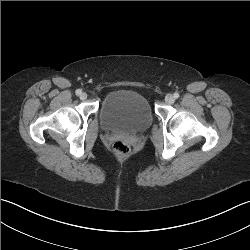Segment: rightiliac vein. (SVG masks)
<instances>
[{
    "label": "right iliac vein",
    "instance_id": "1",
    "mask_svg": "<svg viewBox=\"0 0 250 250\" xmlns=\"http://www.w3.org/2000/svg\"><path fill=\"white\" fill-rule=\"evenodd\" d=\"M87 98V94L85 92L81 93L80 99L85 100Z\"/></svg>",
    "mask_w": 250,
    "mask_h": 250
}]
</instances>
